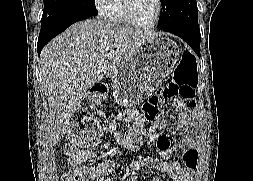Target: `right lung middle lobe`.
Instances as JSON below:
<instances>
[{"mask_svg":"<svg viewBox=\"0 0 253 181\" xmlns=\"http://www.w3.org/2000/svg\"><path fill=\"white\" fill-rule=\"evenodd\" d=\"M97 15L94 0H44L41 26L53 23L72 14Z\"/></svg>","mask_w":253,"mask_h":181,"instance_id":"dd1d6c3e","label":"right lung middle lobe"}]
</instances>
